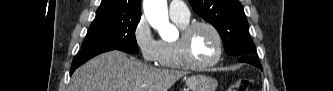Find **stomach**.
Returning a JSON list of instances; mask_svg holds the SVG:
<instances>
[{"label": "stomach", "instance_id": "0dacf381", "mask_svg": "<svg viewBox=\"0 0 333 91\" xmlns=\"http://www.w3.org/2000/svg\"><path fill=\"white\" fill-rule=\"evenodd\" d=\"M189 91H215L218 82L215 78L205 75H195L186 78Z\"/></svg>", "mask_w": 333, "mask_h": 91}]
</instances>
